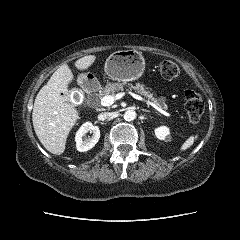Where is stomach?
Segmentation results:
<instances>
[{
    "instance_id": "0dacf381",
    "label": "stomach",
    "mask_w": 240,
    "mask_h": 240,
    "mask_svg": "<svg viewBox=\"0 0 240 240\" xmlns=\"http://www.w3.org/2000/svg\"><path fill=\"white\" fill-rule=\"evenodd\" d=\"M145 70L143 56L135 50H119L105 63V73L113 80L128 82L139 79Z\"/></svg>"
}]
</instances>
